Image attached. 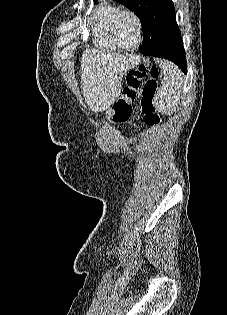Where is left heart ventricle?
Returning a JSON list of instances; mask_svg holds the SVG:
<instances>
[{"label":"left heart ventricle","mask_w":227,"mask_h":315,"mask_svg":"<svg viewBox=\"0 0 227 315\" xmlns=\"http://www.w3.org/2000/svg\"><path fill=\"white\" fill-rule=\"evenodd\" d=\"M116 32L118 39L123 46L132 47L136 44L137 26L132 17H123L117 26Z\"/></svg>","instance_id":"left-heart-ventricle-1"}]
</instances>
